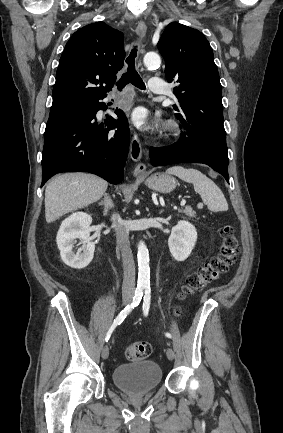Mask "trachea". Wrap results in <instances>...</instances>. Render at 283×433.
<instances>
[{
  "label": "trachea",
  "instance_id": "1",
  "mask_svg": "<svg viewBox=\"0 0 283 433\" xmlns=\"http://www.w3.org/2000/svg\"><path fill=\"white\" fill-rule=\"evenodd\" d=\"M137 56V46H135L129 57L126 58L128 64L127 72L123 73L121 79L117 82L118 90H122L128 83H132L139 89H145V84L135 68V58Z\"/></svg>",
  "mask_w": 283,
  "mask_h": 433
}]
</instances>
